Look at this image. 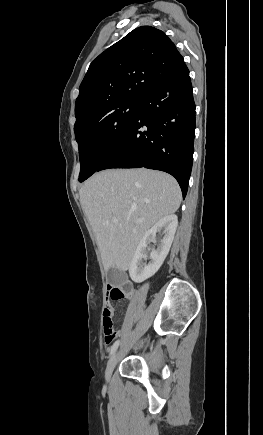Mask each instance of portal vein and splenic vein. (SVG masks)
I'll return each instance as SVG.
<instances>
[{"mask_svg": "<svg viewBox=\"0 0 263 435\" xmlns=\"http://www.w3.org/2000/svg\"><path fill=\"white\" fill-rule=\"evenodd\" d=\"M113 223L117 224L118 220L117 219H113Z\"/></svg>", "mask_w": 263, "mask_h": 435, "instance_id": "18ae733b", "label": "portal vein and splenic vein"}]
</instances>
